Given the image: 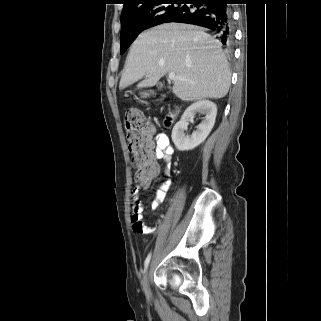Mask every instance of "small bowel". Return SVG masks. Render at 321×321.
Wrapping results in <instances>:
<instances>
[{
    "label": "small bowel",
    "mask_w": 321,
    "mask_h": 321,
    "mask_svg": "<svg viewBox=\"0 0 321 321\" xmlns=\"http://www.w3.org/2000/svg\"><path fill=\"white\" fill-rule=\"evenodd\" d=\"M150 156L155 166L154 176L146 181H140L133 189V214L131 216V222L133 230L141 234H151L158 230L157 226H148L142 221L143 204H142V191L150 185L152 179L158 176L161 172L160 166L157 161H161L163 164L162 174L164 177L163 182L160 184L156 191L155 198L152 202V208H158L165 200L167 193L171 189L172 181L171 176V163L174 153V148L166 134H158L154 137V140L150 139Z\"/></svg>",
    "instance_id": "small-bowel-1"
}]
</instances>
